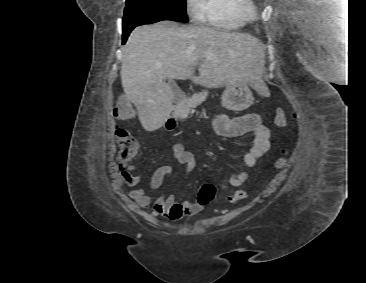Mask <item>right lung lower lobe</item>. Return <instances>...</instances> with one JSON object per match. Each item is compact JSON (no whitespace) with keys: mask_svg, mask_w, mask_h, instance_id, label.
Instances as JSON below:
<instances>
[{"mask_svg":"<svg viewBox=\"0 0 366 283\" xmlns=\"http://www.w3.org/2000/svg\"><path fill=\"white\" fill-rule=\"evenodd\" d=\"M134 29V27H130V28H123V44L126 42V39L128 37V35L130 34V32Z\"/></svg>","mask_w":366,"mask_h":283,"instance_id":"1","label":"right lung lower lobe"}]
</instances>
